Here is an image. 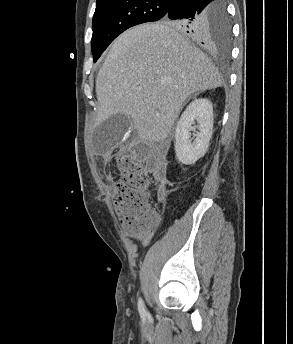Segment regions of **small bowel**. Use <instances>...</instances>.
Masks as SVG:
<instances>
[{"mask_svg":"<svg viewBox=\"0 0 293 344\" xmlns=\"http://www.w3.org/2000/svg\"><path fill=\"white\" fill-rule=\"evenodd\" d=\"M165 198V191H164V187L160 186L159 190H158V200L160 202H163ZM151 241V237L146 236V237H142L140 239V243L143 247L147 246Z\"/></svg>","mask_w":293,"mask_h":344,"instance_id":"1","label":"small bowel"}]
</instances>
